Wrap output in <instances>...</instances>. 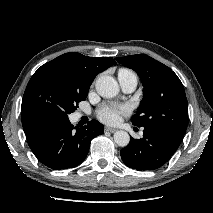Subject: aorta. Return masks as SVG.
<instances>
[{
  "label": "aorta",
  "instance_id": "obj_1",
  "mask_svg": "<svg viewBox=\"0 0 213 213\" xmlns=\"http://www.w3.org/2000/svg\"><path fill=\"white\" fill-rule=\"evenodd\" d=\"M95 88L97 93L104 98H112L119 93V85L111 76L104 75L99 77L96 80ZM114 142L120 147H125L130 142V136L124 130L116 131L114 133Z\"/></svg>",
  "mask_w": 213,
  "mask_h": 213
}]
</instances>
